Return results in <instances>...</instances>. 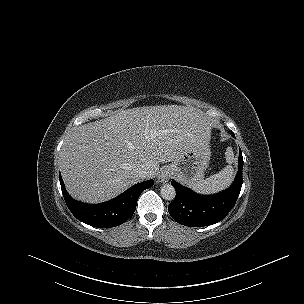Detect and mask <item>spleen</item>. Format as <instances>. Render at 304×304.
<instances>
[{"mask_svg": "<svg viewBox=\"0 0 304 304\" xmlns=\"http://www.w3.org/2000/svg\"><path fill=\"white\" fill-rule=\"evenodd\" d=\"M226 161L230 164L223 168L220 172L211 175L206 179L198 182L193 189L201 194H213L227 188L233 181L234 169L231 164L234 162V154L232 149L226 151Z\"/></svg>", "mask_w": 304, "mask_h": 304, "instance_id": "1", "label": "spleen"}]
</instances>
